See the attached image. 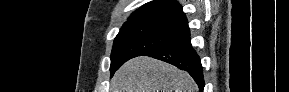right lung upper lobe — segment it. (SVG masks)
<instances>
[{
	"label": "right lung upper lobe",
	"mask_w": 289,
	"mask_h": 92,
	"mask_svg": "<svg viewBox=\"0 0 289 92\" xmlns=\"http://www.w3.org/2000/svg\"><path fill=\"white\" fill-rule=\"evenodd\" d=\"M129 20L147 19L188 26L182 6L175 0H153L138 8Z\"/></svg>",
	"instance_id": "1"
}]
</instances>
